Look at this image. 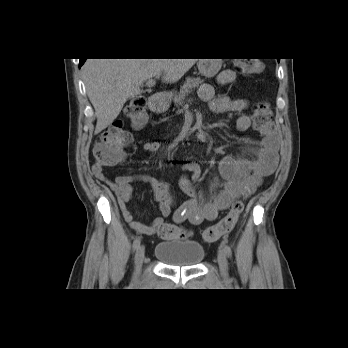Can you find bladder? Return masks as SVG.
<instances>
[{
    "instance_id": "31cf9c89",
    "label": "bladder",
    "mask_w": 348,
    "mask_h": 348,
    "mask_svg": "<svg viewBox=\"0 0 348 348\" xmlns=\"http://www.w3.org/2000/svg\"><path fill=\"white\" fill-rule=\"evenodd\" d=\"M204 247L195 241L171 240L154 248V257L167 266L191 267L201 263Z\"/></svg>"
}]
</instances>
